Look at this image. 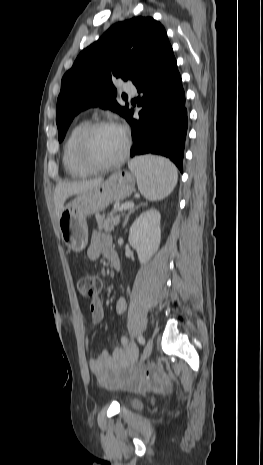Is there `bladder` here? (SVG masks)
Wrapping results in <instances>:
<instances>
[{
  "instance_id": "1",
  "label": "bladder",
  "mask_w": 263,
  "mask_h": 465,
  "mask_svg": "<svg viewBox=\"0 0 263 465\" xmlns=\"http://www.w3.org/2000/svg\"><path fill=\"white\" fill-rule=\"evenodd\" d=\"M123 405L132 410H141L142 409V402L134 397H127L123 401Z\"/></svg>"
}]
</instances>
